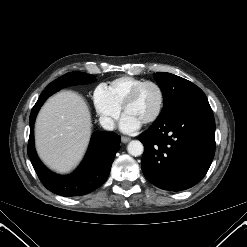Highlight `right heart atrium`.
<instances>
[{
    "mask_svg": "<svg viewBox=\"0 0 247 247\" xmlns=\"http://www.w3.org/2000/svg\"><path fill=\"white\" fill-rule=\"evenodd\" d=\"M94 107L102 123L107 128L114 126L115 120L119 117L121 107L111 98L108 89L104 85H99L93 94Z\"/></svg>",
    "mask_w": 247,
    "mask_h": 247,
    "instance_id": "d8ad5b80",
    "label": "right heart atrium"
}]
</instances>
